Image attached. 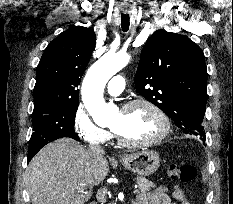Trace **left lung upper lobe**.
Returning <instances> with one entry per match:
<instances>
[{
    "label": "left lung upper lobe",
    "instance_id": "5c2ea615",
    "mask_svg": "<svg viewBox=\"0 0 233 204\" xmlns=\"http://www.w3.org/2000/svg\"><path fill=\"white\" fill-rule=\"evenodd\" d=\"M206 82L203 51L187 36L157 30L147 40L135 75L136 89L185 134L203 141ZM148 84L151 88H145Z\"/></svg>",
    "mask_w": 233,
    "mask_h": 204
}]
</instances>
